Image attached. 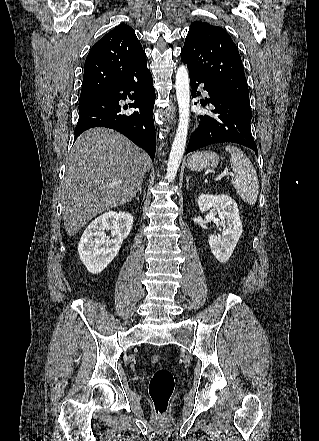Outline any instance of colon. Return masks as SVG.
<instances>
[{"instance_id":"colon-1","label":"colon","mask_w":319,"mask_h":441,"mask_svg":"<svg viewBox=\"0 0 319 441\" xmlns=\"http://www.w3.org/2000/svg\"><path fill=\"white\" fill-rule=\"evenodd\" d=\"M149 360L151 364L157 365L161 363L162 357L155 354L150 356ZM174 386V375L168 368L161 367L153 373L150 379L149 395L158 417H165L167 415Z\"/></svg>"}]
</instances>
